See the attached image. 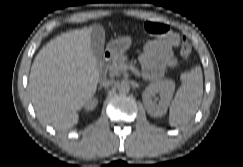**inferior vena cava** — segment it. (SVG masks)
<instances>
[{
    "label": "inferior vena cava",
    "instance_id": "obj_1",
    "mask_svg": "<svg viewBox=\"0 0 243 167\" xmlns=\"http://www.w3.org/2000/svg\"><path fill=\"white\" fill-rule=\"evenodd\" d=\"M112 84H113L112 80H105L102 82V86H104V87H109Z\"/></svg>",
    "mask_w": 243,
    "mask_h": 167
}]
</instances>
